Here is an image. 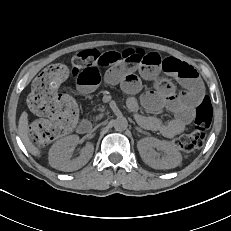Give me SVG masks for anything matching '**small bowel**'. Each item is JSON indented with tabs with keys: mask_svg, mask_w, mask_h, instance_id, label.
Listing matches in <instances>:
<instances>
[{
	"mask_svg": "<svg viewBox=\"0 0 231 231\" xmlns=\"http://www.w3.org/2000/svg\"><path fill=\"white\" fill-rule=\"evenodd\" d=\"M152 57L144 62H118L101 76L100 66L91 65L77 75L78 91L85 95L92 92L102 80L110 85L119 84L123 91L135 94L141 89V78L136 74L139 70L142 78L154 81V90L141 96L142 105L151 112L163 108L168 109L173 118L162 122L153 116L137 115L138 122L145 128L159 131L166 137L180 134L190 123L194 110L204 96L203 85L196 70L189 64L175 58H161L152 53ZM161 73L179 80L183 91L177 92L174 86ZM132 110H137L138 103L134 98L128 100Z\"/></svg>",
	"mask_w": 231,
	"mask_h": 231,
	"instance_id": "1",
	"label": "small bowel"
}]
</instances>
